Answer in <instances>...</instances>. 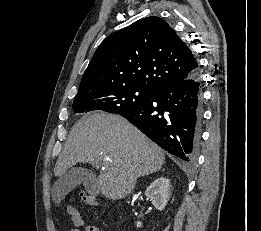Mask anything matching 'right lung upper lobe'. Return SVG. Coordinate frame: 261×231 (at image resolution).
Wrapping results in <instances>:
<instances>
[{
	"label": "right lung upper lobe",
	"instance_id": "right-lung-upper-lobe-1",
	"mask_svg": "<svg viewBox=\"0 0 261 231\" xmlns=\"http://www.w3.org/2000/svg\"><path fill=\"white\" fill-rule=\"evenodd\" d=\"M198 71L192 51L159 17H146L107 37L84 72L78 95L123 86L154 92Z\"/></svg>",
	"mask_w": 261,
	"mask_h": 231
}]
</instances>
